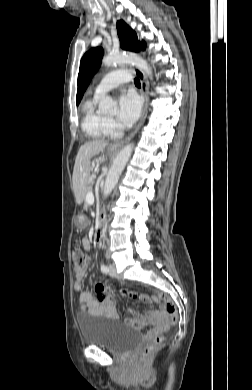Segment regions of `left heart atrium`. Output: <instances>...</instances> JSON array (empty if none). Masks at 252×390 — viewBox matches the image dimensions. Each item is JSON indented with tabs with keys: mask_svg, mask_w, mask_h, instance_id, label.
Wrapping results in <instances>:
<instances>
[{
	"mask_svg": "<svg viewBox=\"0 0 252 390\" xmlns=\"http://www.w3.org/2000/svg\"><path fill=\"white\" fill-rule=\"evenodd\" d=\"M141 102L132 93H124L118 100V119L124 124H132L139 117Z\"/></svg>",
	"mask_w": 252,
	"mask_h": 390,
	"instance_id": "1",
	"label": "left heart atrium"
}]
</instances>
